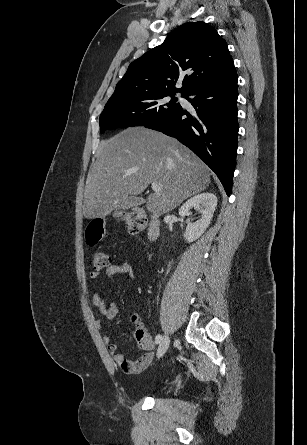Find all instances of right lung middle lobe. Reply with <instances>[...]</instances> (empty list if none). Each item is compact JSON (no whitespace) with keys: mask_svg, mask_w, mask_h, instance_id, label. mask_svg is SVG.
Here are the masks:
<instances>
[{"mask_svg":"<svg viewBox=\"0 0 307 445\" xmlns=\"http://www.w3.org/2000/svg\"><path fill=\"white\" fill-rule=\"evenodd\" d=\"M169 97L171 99L169 100ZM174 94L136 95L110 98L100 115V132L145 126L153 123L180 106Z\"/></svg>","mask_w":307,"mask_h":445,"instance_id":"right-lung-middle-lobe-1","label":"right lung middle lobe"}]
</instances>
